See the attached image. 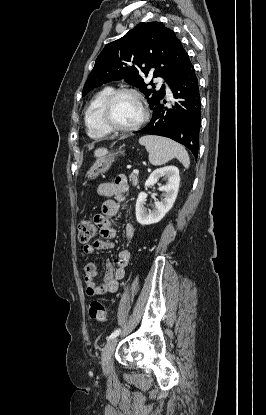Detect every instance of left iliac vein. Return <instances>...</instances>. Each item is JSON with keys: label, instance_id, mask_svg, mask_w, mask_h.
<instances>
[{"label": "left iliac vein", "instance_id": "left-iliac-vein-1", "mask_svg": "<svg viewBox=\"0 0 266 415\" xmlns=\"http://www.w3.org/2000/svg\"><path fill=\"white\" fill-rule=\"evenodd\" d=\"M117 341H118L117 337L111 338L107 341L106 345L103 348L101 362H102V368L104 371H107L109 368L111 356L115 350Z\"/></svg>", "mask_w": 266, "mask_h": 415}]
</instances>
